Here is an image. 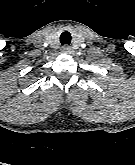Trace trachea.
I'll list each match as a JSON object with an SVG mask.
<instances>
[{
    "label": "trachea",
    "instance_id": "trachea-1",
    "mask_svg": "<svg viewBox=\"0 0 135 165\" xmlns=\"http://www.w3.org/2000/svg\"><path fill=\"white\" fill-rule=\"evenodd\" d=\"M71 39H72L71 34L68 31H64L60 35V42L62 45H70Z\"/></svg>",
    "mask_w": 135,
    "mask_h": 165
}]
</instances>
